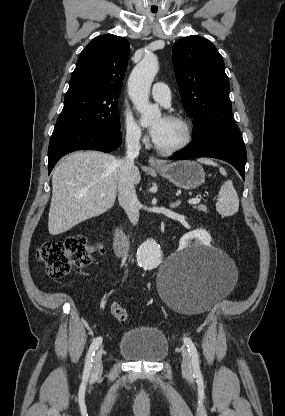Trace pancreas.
Listing matches in <instances>:
<instances>
[{
	"label": "pancreas",
	"instance_id": "obj_1",
	"mask_svg": "<svg viewBox=\"0 0 285 416\" xmlns=\"http://www.w3.org/2000/svg\"><path fill=\"white\" fill-rule=\"evenodd\" d=\"M193 208H197L199 212H207L206 206H193Z\"/></svg>",
	"mask_w": 285,
	"mask_h": 416
}]
</instances>
